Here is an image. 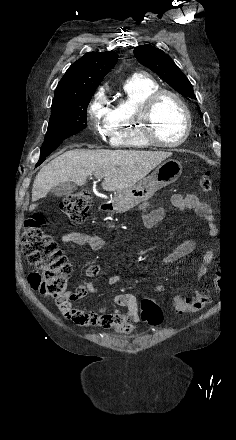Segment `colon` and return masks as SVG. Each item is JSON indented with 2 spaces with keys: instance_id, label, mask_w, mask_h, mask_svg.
I'll return each mask as SVG.
<instances>
[{
  "instance_id": "colon-1",
  "label": "colon",
  "mask_w": 236,
  "mask_h": 440,
  "mask_svg": "<svg viewBox=\"0 0 236 440\" xmlns=\"http://www.w3.org/2000/svg\"><path fill=\"white\" fill-rule=\"evenodd\" d=\"M200 188L204 192L212 189L210 172L205 171L200 178ZM90 208V194L79 191L66 195L61 202V210L73 224L85 221ZM45 217L35 214L24 224L21 237L23 252L30 265L36 268L29 275V284L42 295L53 299L59 310L67 315L72 299L67 291V283L72 267L67 257L59 248L54 238L43 230ZM219 281L224 279L222 274L217 276ZM209 301L206 290H199L191 297H177L172 303L173 310L178 314H190L205 307ZM141 318L152 326H158L163 321L160 306L152 299H143L140 303ZM79 321L73 320L78 325Z\"/></svg>"
}]
</instances>
